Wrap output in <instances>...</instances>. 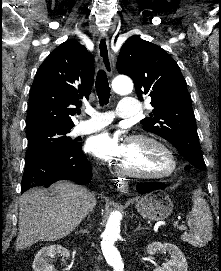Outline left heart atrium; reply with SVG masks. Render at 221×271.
<instances>
[{
    "instance_id": "1",
    "label": "left heart atrium",
    "mask_w": 221,
    "mask_h": 271,
    "mask_svg": "<svg viewBox=\"0 0 221 271\" xmlns=\"http://www.w3.org/2000/svg\"><path fill=\"white\" fill-rule=\"evenodd\" d=\"M119 134L104 131L92 136L87 144L89 152L99 154L101 157H133L129 148L123 147V142H118Z\"/></svg>"
}]
</instances>
